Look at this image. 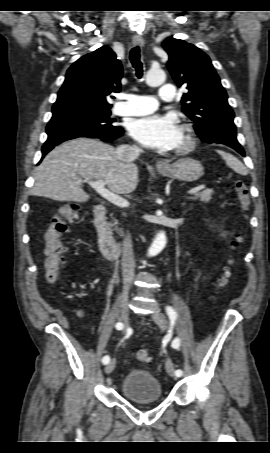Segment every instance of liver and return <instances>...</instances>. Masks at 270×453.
Returning <instances> with one entry per match:
<instances>
[{
  "instance_id": "1",
  "label": "liver",
  "mask_w": 270,
  "mask_h": 453,
  "mask_svg": "<svg viewBox=\"0 0 270 453\" xmlns=\"http://www.w3.org/2000/svg\"><path fill=\"white\" fill-rule=\"evenodd\" d=\"M31 195L55 201L87 202L81 178L103 180L116 194H130L138 184V168L117 158L116 149L100 140L77 138L54 148L36 168Z\"/></svg>"
}]
</instances>
